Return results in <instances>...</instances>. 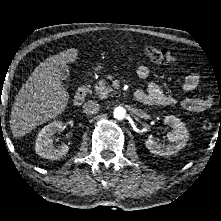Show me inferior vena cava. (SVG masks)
<instances>
[{
	"label": "inferior vena cava",
	"mask_w": 221,
	"mask_h": 221,
	"mask_svg": "<svg viewBox=\"0 0 221 221\" xmlns=\"http://www.w3.org/2000/svg\"><path fill=\"white\" fill-rule=\"evenodd\" d=\"M100 109V105L97 101L89 100L83 105V112L87 115L96 114Z\"/></svg>",
	"instance_id": "obj_1"
}]
</instances>
